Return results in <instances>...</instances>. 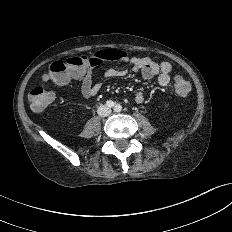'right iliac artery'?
<instances>
[{"label":"right iliac artery","mask_w":232,"mask_h":232,"mask_svg":"<svg viewBox=\"0 0 232 232\" xmlns=\"http://www.w3.org/2000/svg\"><path fill=\"white\" fill-rule=\"evenodd\" d=\"M106 105L111 108V107H114L115 103L113 101H111V100H108L106 102Z\"/></svg>","instance_id":"obj_1"}]
</instances>
